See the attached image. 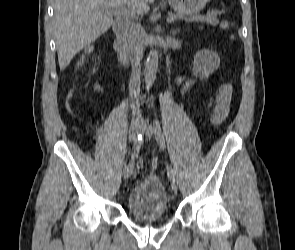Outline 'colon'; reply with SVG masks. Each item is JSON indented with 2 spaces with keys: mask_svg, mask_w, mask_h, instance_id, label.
Segmentation results:
<instances>
[{
  "mask_svg": "<svg viewBox=\"0 0 295 250\" xmlns=\"http://www.w3.org/2000/svg\"><path fill=\"white\" fill-rule=\"evenodd\" d=\"M228 26V23H224V28H228ZM232 93L233 87L230 83H225L220 87L216 97V105L212 117V122L214 125L221 124L227 118L230 111ZM152 167H157V161H153Z\"/></svg>",
  "mask_w": 295,
  "mask_h": 250,
  "instance_id": "colon-1",
  "label": "colon"
}]
</instances>
